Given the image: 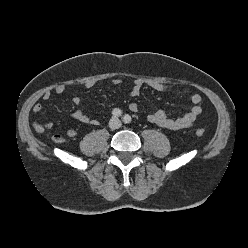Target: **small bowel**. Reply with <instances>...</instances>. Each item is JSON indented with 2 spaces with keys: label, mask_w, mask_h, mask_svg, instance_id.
Returning <instances> with one entry per match:
<instances>
[{
  "label": "small bowel",
  "mask_w": 248,
  "mask_h": 248,
  "mask_svg": "<svg viewBox=\"0 0 248 248\" xmlns=\"http://www.w3.org/2000/svg\"><path fill=\"white\" fill-rule=\"evenodd\" d=\"M122 80L120 78L113 79L112 83L114 85H120ZM95 85L94 81H87L83 84L84 88H91ZM144 86H148L156 91L160 92H168V91H178L185 94H190V101L192 104V107L189 112L185 113L184 115L176 118H172L167 115V113L163 110H157L153 113H151L148 116V120L156 124L162 128H166L169 130H179V129H185L192 127L199 115L202 112V98L199 94L192 93L191 89L183 84L178 85H169L166 83H163L161 81L156 80H142V79H136L134 80L130 95L132 97H137L140 95L142 89ZM54 94L56 95H62L66 92V87L64 85H59L54 88L53 90ZM52 92L47 91L42 95V100L47 101L51 98ZM74 105L76 106L75 111L72 113V118L75 120L90 124L93 126H96L99 124L98 120L91 118L85 111L84 103L81 97L74 96L72 99ZM129 109L132 112H138L139 106L137 103L133 102L129 105ZM42 110V105L39 102H36L33 107L32 111L34 113H39ZM33 128L37 133H43L46 130H51L53 128V124L51 122H42L40 120H36L33 122ZM77 132L74 129H69L67 131V136L69 138L76 137ZM52 139L56 142H62L63 137L61 135H54Z\"/></svg>",
  "instance_id": "1"
}]
</instances>
